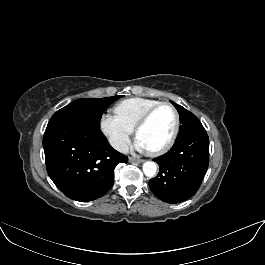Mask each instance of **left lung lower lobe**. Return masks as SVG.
<instances>
[{"instance_id": "1", "label": "left lung lower lobe", "mask_w": 265, "mask_h": 265, "mask_svg": "<svg viewBox=\"0 0 265 265\" xmlns=\"http://www.w3.org/2000/svg\"><path fill=\"white\" fill-rule=\"evenodd\" d=\"M158 175L149 181L153 194L167 203H180L200 187L209 165V138L205 129L176 139L172 148L154 159Z\"/></svg>"}]
</instances>
